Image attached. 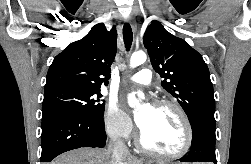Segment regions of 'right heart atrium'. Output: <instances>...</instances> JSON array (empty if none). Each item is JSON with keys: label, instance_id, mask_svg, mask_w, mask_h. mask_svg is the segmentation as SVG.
<instances>
[{"label": "right heart atrium", "instance_id": "right-heart-atrium-1", "mask_svg": "<svg viewBox=\"0 0 251 164\" xmlns=\"http://www.w3.org/2000/svg\"><path fill=\"white\" fill-rule=\"evenodd\" d=\"M104 126L111 137L123 140L130 138L134 130L130 116L116 103H110L106 108Z\"/></svg>", "mask_w": 251, "mask_h": 164}]
</instances>
